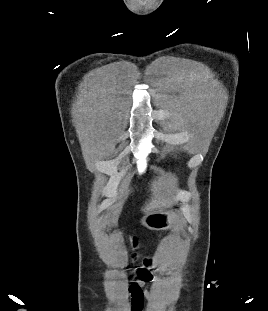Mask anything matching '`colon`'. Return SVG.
<instances>
[{
  "instance_id": "1",
  "label": "colon",
  "mask_w": 268,
  "mask_h": 311,
  "mask_svg": "<svg viewBox=\"0 0 268 311\" xmlns=\"http://www.w3.org/2000/svg\"><path fill=\"white\" fill-rule=\"evenodd\" d=\"M134 259H136V255L133 254L132 256ZM152 258L145 257L142 260L143 265L136 270V275L144 280H149L151 278L150 268L152 265Z\"/></svg>"
}]
</instances>
